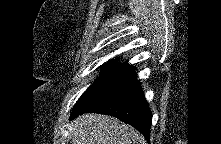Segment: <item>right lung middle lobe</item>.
<instances>
[{
    "mask_svg": "<svg viewBox=\"0 0 221 144\" xmlns=\"http://www.w3.org/2000/svg\"><path fill=\"white\" fill-rule=\"evenodd\" d=\"M103 66L102 75L82 94L74 107L73 113L82 111L90 106L107 91L119 85L135 69L128 63L117 64L116 60H111L110 63Z\"/></svg>",
    "mask_w": 221,
    "mask_h": 144,
    "instance_id": "obj_1",
    "label": "right lung middle lobe"
}]
</instances>
